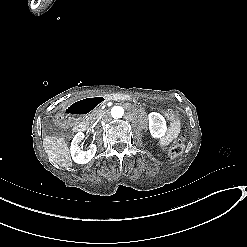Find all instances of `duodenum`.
<instances>
[{
	"label": "duodenum",
	"instance_id": "duodenum-1",
	"mask_svg": "<svg viewBox=\"0 0 247 247\" xmlns=\"http://www.w3.org/2000/svg\"><path fill=\"white\" fill-rule=\"evenodd\" d=\"M130 99V96L124 94L89 96L70 105L64 114V120L73 123L74 131L81 132L86 129V124L79 120V116L93 111L105 101Z\"/></svg>",
	"mask_w": 247,
	"mask_h": 247
}]
</instances>
